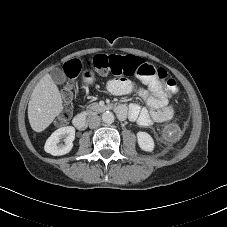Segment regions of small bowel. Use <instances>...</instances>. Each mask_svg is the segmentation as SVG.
<instances>
[{
    "label": "small bowel",
    "mask_w": 227,
    "mask_h": 227,
    "mask_svg": "<svg viewBox=\"0 0 227 227\" xmlns=\"http://www.w3.org/2000/svg\"><path fill=\"white\" fill-rule=\"evenodd\" d=\"M145 88H139L136 93L147 107L132 103L128 107V117L141 126L148 127L156 122H167L174 117V107L168 104L163 85L158 79L139 76ZM107 90L114 96L122 97L135 91L134 84L125 78L113 79L108 82Z\"/></svg>",
    "instance_id": "obj_1"
}]
</instances>
